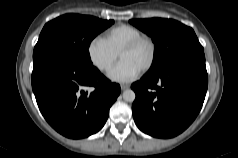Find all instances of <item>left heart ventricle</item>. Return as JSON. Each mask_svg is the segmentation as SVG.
Listing matches in <instances>:
<instances>
[{
    "mask_svg": "<svg viewBox=\"0 0 238 158\" xmlns=\"http://www.w3.org/2000/svg\"><path fill=\"white\" fill-rule=\"evenodd\" d=\"M120 58L121 60L131 62L141 69L150 58V46L148 43L143 42L135 49L122 53Z\"/></svg>",
    "mask_w": 238,
    "mask_h": 158,
    "instance_id": "left-heart-ventricle-1",
    "label": "left heart ventricle"
}]
</instances>
